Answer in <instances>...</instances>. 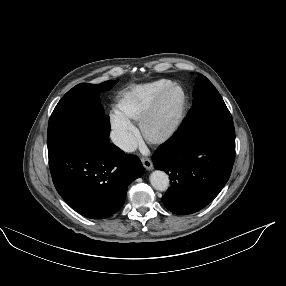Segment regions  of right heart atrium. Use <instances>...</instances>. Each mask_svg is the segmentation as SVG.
<instances>
[{"label":"right heart atrium","mask_w":286,"mask_h":286,"mask_svg":"<svg viewBox=\"0 0 286 286\" xmlns=\"http://www.w3.org/2000/svg\"><path fill=\"white\" fill-rule=\"evenodd\" d=\"M109 119L115 144L124 151H131L137 140L132 122L118 110L111 111Z\"/></svg>","instance_id":"1"}]
</instances>
